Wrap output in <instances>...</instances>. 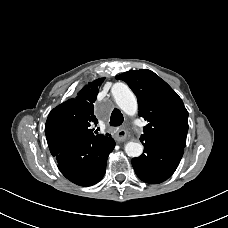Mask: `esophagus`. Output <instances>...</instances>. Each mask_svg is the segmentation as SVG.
I'll list each match as a JSON object with an SVG mask.
<instances>
[{
    "instance_id": "obj_1",
    "label": "esophagus",
    "mask_w": 228,
    "mask_h": 228,
    "mask_svg": "<svg viewBox=\"0 0 228 228\" xmlns=\"http://www.w3.org/2000/svg\"><path fill=\"white\" fill-rule=\"evenodd\" d=\"M115 138L118 142H123L127 138V132L125 129H119L115 135Z\"/></svg>"
}]
</instances>
